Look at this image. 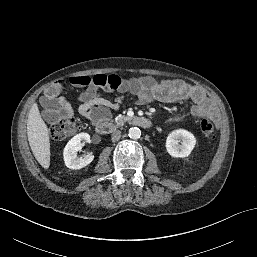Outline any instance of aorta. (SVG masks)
<instances>
[{"label": "aorta", "mask_w": 257, "mask_h": 257, "mask_svg": "<svg viewBox=\"0 0 257 257\" xmlns=\"http://www.w3.org/2000/svg\"><path fill=\"white\" fill-rule=\"evenodd\" d=\"M128 135L131 139H138L141 137V130L137 127H132L129 129Z\"/></svg>", "instance_id": "762f6f07"}]
</instances>
